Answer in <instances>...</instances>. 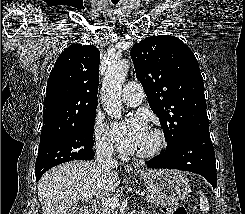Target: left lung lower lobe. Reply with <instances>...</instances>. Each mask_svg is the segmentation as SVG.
I'll return each instance as SVG.
<instances>
[{
	"mask_svg": "<svg viewBox=\"0 0 245 214\" xmlns=\"http://www.w3.org/2000/svg\"><path fill=\"white\" fill-rule=\"evenodd\" d=\"M152 168H174L197 173L217 187L215 152L209 131H197L158 156L146 161Z\"/></svg>",
	"mask_w": 245,
	"mask_h": 214,
	"instance_id": "obj_1",
	"label": "left lung lower lobe"
}]
</instances>
